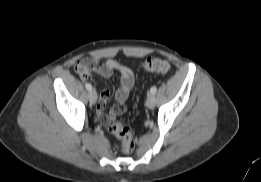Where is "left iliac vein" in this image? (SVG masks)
Returning a JSON list of instances; mask_svg holds the SVG:
<instances>
[{"label":"left iliac vein","instance_id":"4c4485c4","mask_svg":"<svg viewBox=\"0 0 261 182\" xmlns=\"http://www.w3.org/2000/svg\"><path fill=\"white\" fill-rule=\"evenodd\" d=\"M156 99L153 94H149L146 100V106L149 109H153L155 107Z\"/></svg>","mask_w":261,"mask_h":182}]
</instances>
